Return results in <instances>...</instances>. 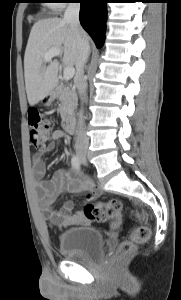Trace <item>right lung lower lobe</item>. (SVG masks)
Returning <instances> with one entry per match:
<instances>
[{
    "label": "right lung lower lobe",
    "mask_w": 181,
    "mask_h": 300,
    "mask_svg": "<svg viewBox=\"0 0 181 300\" xmlns=\"http://www.w3.org/2000/svg\"><path fill=\"white\" fill-rule=\"evenodd\" d=\"M80 7V22L83 28L95 41L98 48L104 43L106 28V3L108 0H78Z\"/></svg>",
    "instance_id": "98d812e1"
}]
</instances>
